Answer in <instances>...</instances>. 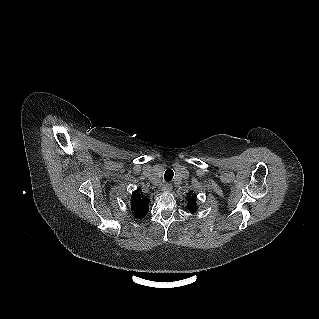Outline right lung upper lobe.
Returning a JSON list of instances; mask_svg holds the SVG:
<instances>
[{"label":"right lung upper lobe","instance_id":"obj_1","mask_svg":"<svg viewBox=\"0 0 319 319\" xmlns=\"http://www.w3.org/2000/svg\"><path fill=\"white\" fill-rule=\"evenodd\" d=\"M149 199L141 198L138 191L132 193L131 208L137 218H143L148 212Z\"/></svg>","mask_w":319,"mask_h":319}]
</instances>
